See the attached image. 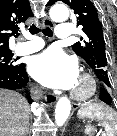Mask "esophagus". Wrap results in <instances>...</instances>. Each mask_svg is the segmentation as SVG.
<instances>
[{"instance_id":"34e87169","label":"esophagus","mask_w":117,"mask_h":136,"mask_svg":"<svg viewBox=\"0 0 117 136\" xmlns=\"http://www.w3.org/2000/svg\"><path fill=\"white\" fill-rule=\"evenodd\" d=\"M42 24H43V26H45V27H50V28H52V27L54 26L53 21H52L50 18H48V17H45V18L42 20ZM57 99H58V96L55 95V94L47 93V94L45 95V100H46L50 105L54 104V103L57 101Z\"/></svg>"}]
</instances>
